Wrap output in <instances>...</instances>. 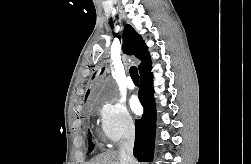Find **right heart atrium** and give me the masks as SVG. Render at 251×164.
<instances>
[{
  "mask_svg": "<svg viewBox=\"0 0 251 164\" xmlns=\"http://www.w3.org/2000/svg\"><path fill=\"white\" fill-rule=\"evenodd\" d=\"M96 111L102 132L108 141L118 143L134 133V120L121 102L106 98L101 101Z\"/></svg>",
  "mask_w": 251,
  "mask_h": 164,
  "instance_id": "obj_1",
  "label": "right heart atrium"
}]
</instances>
